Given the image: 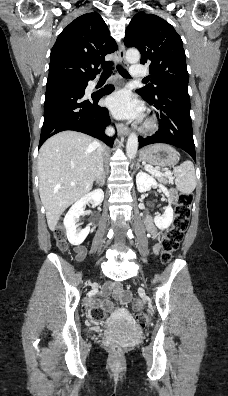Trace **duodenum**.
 <instances>
[{
	"label": "duodenum",
	"instance_id": "1",
	"mask_svg": "<svg viewBox=\"0 0 228 396\" xmlns=\"http://www.w3.org/2000/svg\"><path fill=\"white\" fill-rule=\"evenodd\" d=\"M149 229H150L151 231H153V230H154V227L151 225V226L149 227Z\"/></svg>",
	"mask_w": 228,
	"mask_h": 396
}]
</instances>
